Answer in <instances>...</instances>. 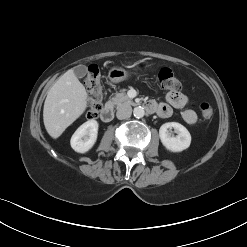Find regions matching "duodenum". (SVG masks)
Returning a JSON list of instances; mask_svg holds the SVG:
<instances>
[{
	"label": "duodenum",
	"instance_id": "410a0bca",
	"mask_svg": "<svg viewBox=\"0 0 247 247\" xmlns=\"http://www.w3.org/2000/svg\"><path fill=\"white\" fill-rule=\"evenodd\" d=\"M144 108L148 112H156L157 107L153 102H147L144 105ZM114 110L111 104H107L101 112V119L103 122L108 123L113 119Z\"/></svg>",
	"mask_w": 247,
	"mask_h": 247
}]
</instances>
